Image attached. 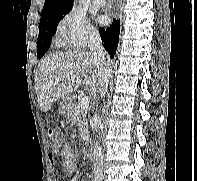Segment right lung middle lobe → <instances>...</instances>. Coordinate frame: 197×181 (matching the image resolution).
Instances as JSON below:
<instances>
[{"label":"right lung middle lobe","instance_id":"right-lung-middle-lobe-1","mask_svg":"<svg viewBox=\"0 0 197 181\" xmlns=\"http://www.w3.org/2000/svg\"><path fill=\"white\" fill-rule=\"evenodd\" d=\"M68 12L69 11L41 17L38 35V58H41L49 49L51 39L56 32L59 21Z\"/></svg>","mask_w":197,"mask_h":181}]
</instances>
